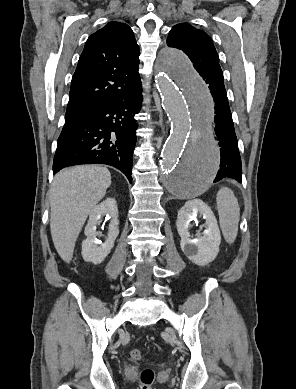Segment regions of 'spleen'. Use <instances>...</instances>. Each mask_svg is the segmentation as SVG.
Returning a JSON list of instances; mask_svg holds the SVG:
<instances>
[{"instance_id": "spleen-1", "label": "spleen", "mask_w": 296, "mask_h": 389, "mask_svg": "<svg viewBox=\"0 0 296 389\" xmlns=\"http://www.w3.org/2000/svg\"><path fill=\"white\" fill-rule=\"evenodd\" d=\"M216 201L223 236L226 242L233 243L237 237L240 218L238 200L231 189L224 187L218 191Z\"/></svg>"}]
</instances>
